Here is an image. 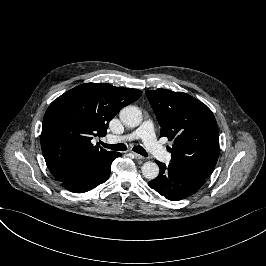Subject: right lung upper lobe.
Returning <instances> with one entry per match:
<instances>
[{"label": "right lung upper lobe", "mask_w": 266, "mask_h": 266, "mask_svg": "<svg viewBox=\"0 0 266 266\" xmlns=\"http://www.w3.org/2000/svg\"><path fill=\"white\" fill-rule=\"evenodd\" d=\"M141 94L137 89L86 83L55 99L41 133L43 156L54 177L62 181L78 163L111 152L93 146L92 136H105L109 121Z\"/></svg>", "instance_id": "obj_1"}]
</instances>
